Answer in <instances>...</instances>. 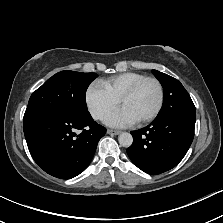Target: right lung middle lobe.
<instances>
[{
	"mask_svg": "<svg viewBox=\"0 0 223 223\" xmlns=\"http://www.w3.org/2000/svg\"><path fill=\"white\" fill-rule=\"evenodd\" d=\"M95 73L65 70L56 73L31 95L24 120L45 115L87 118L85 95Z\"/></svg>",
	"mask_w": 223,
	"mask_h": 223,
	"instance_id": "1",
	"label": "right lung middle lobe"
}]
</instances>
